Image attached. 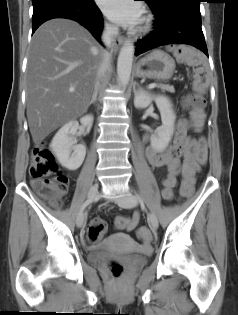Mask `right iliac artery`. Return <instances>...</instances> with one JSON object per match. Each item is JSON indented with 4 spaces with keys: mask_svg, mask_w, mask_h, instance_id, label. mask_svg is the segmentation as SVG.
<instances>
[{
    "mask_svg": "<svg viewBox=\"0 0 238 315\" xmlns=\"http://www.w3.org/2000/svg\"><path fill=\"white\" fill-rule=\"evenodd\" d=\"M92 202V200H86L81 207V212Z\"/></svg>",
    "mask_w": 238,
    "mask_h": 315,
    "instance_id": "obj_1",
    "label": "right iliac artery"
}]
</instances>
